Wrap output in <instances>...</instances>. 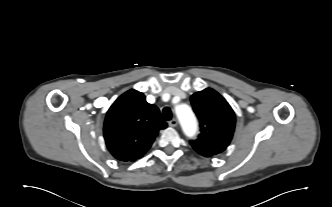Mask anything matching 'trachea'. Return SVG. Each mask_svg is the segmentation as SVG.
<instances>
[{
    "label": "trachea",
    "instance_id": "obj_1",
    "mask_svg": "<svg viewBox=\"0 0 332 207\" xmlns=\"http://www.w3.org/2000/svg\"><path fill=\"white\" fill-rule=\"evenodd\" d=\"M163 116H164V118H165L166 120H171V118H172V112H171L170 108L165 107V108L163 109Z\"/></svg>",
    "mask_w": 332,
    "mask_h": 207
}]
</instances>
